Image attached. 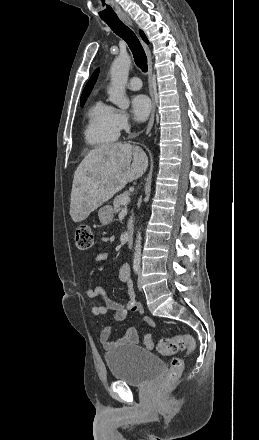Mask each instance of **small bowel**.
<instances>
[{"instance_id":"small-bowel-1","label":"small bowel","mask_w":259,"mask_h":440,"mask_svg":"<svg viewBox=\"0 0 259 440\" xmlns=\"http://www.w3.org/2000/svg\"><path fill=\"white\" fill-rule=\"evenodd\" d=\"M114 240V236L104 237L102 239L104 242H113ZM106 258V253H99L96 256L97 261H104ZM119 278L127 286L128 301L126 303H121L117 300L109 298L107 296V291L102 287L88 289L86 291L88 298L95 299L99 296L103 297V301L101 303L93 302L91 304L90 313L93 316L106 315L110 310L113 312L112 316L115 322L124 321L130 312H135L142 316L143 308L136 299L131 278V270L128 264H123L121 266L119 270ZM142 321L150 327H155V322L149 317L142 316ZM111 336L112 330L110 327L104 326L101 328L99 332V339L103 347L107 350L129 344H137L139 341L138 331L134 327L128 328L125 334L117 340H112ZM144 343L148 349H152L154 347L150 333L145 335Z\"/></svg>"}]
</instances>
